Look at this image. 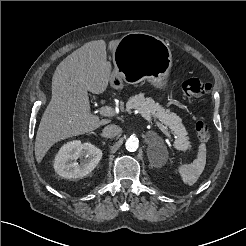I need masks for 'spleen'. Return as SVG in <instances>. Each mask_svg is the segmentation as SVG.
Wrapping results in <instances>:
<instances>
[{"label": "spleen", "instance_id": "1", "mask_svg": "<svg viewBox=\"0 0 246 246\" xmlns=\"http://www.w3.org/2000/svg\"><path fill=\"white\" fill-rule=\"evenodd\" d=\"M206 165V146L204 143L199 145L197 158L191 164H183L179 167V172L183 182L188 185L196 183Z\"/></svg>", "mask_w": 246, "mask_h": 246}]
</instances>
